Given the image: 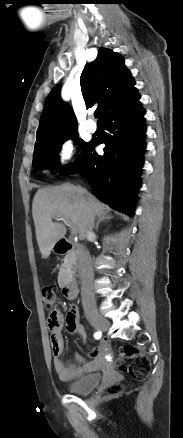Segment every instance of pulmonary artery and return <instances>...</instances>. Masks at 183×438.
I'll list each match as a JSON object with an SVG mask.
<instances>
[{
    "label": "pulmonary artery",
    "mask_w": 183,
    "mask_h": 438,
    "mask_svg": "<svg viewBox=\"0 0 183 438\" xmlns=\"http://www.w3.org/2000/svg\"><path fill=\"white\" fill-rule=\"evenodd\" d=\"M86 129L89 131V132H95L96 131V129H97V125H96V123L94 122V121H92V120H88L87 122H86Z\"/></svg>",
    "instance_id": "1"
}]
</instances>
